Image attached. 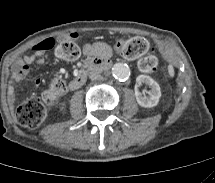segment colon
<instances>
[{
  "mask_svg": "<svg viewBox=\"0 0 215 183\" xmlns=\"http://www.w3.org/2000/svg\"><path fill=\"white\" fill-rule=\"evenodd\" d=\"M53 46L52 41H44L39 44L40 48L49 49ZM117 51L126 59L138 61L139 69L144 73L155 72L158 68V60L154 55H147L151 50L149 42L142 37H134L116 44ZM56 55L61 59L74 60L80 55L78 44L67 39L57 44ZM66 91L64 81L57 79L45 89L40 97L31 98L20 104L15 112L18 123L26 128L35 129L47 118L50 107Z\"/></svg>",
  "mask_w": 215,
  "mask_h": 183,
  "instance_id": "5ec220e1",
  "label": "colon"
}]
</instances>
